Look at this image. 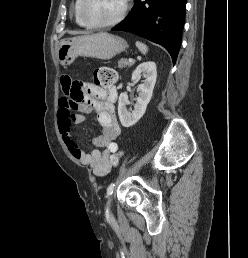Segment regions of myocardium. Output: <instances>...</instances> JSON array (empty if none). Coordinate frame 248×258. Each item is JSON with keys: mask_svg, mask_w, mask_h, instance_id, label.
Instances as JSON below:
<instances>
[{"mask_svg": "<svg viewBox=\"0 0 248 258\" xmlns=\"http://www.w3.org/2000/svg\"><path fill=\"white\" fill-rule=\"evenodd\" d=\"M128 1L129 0H123L121 10L117 14V16H115L113 19L108 20L106 22L95 23V22L90 21L87 18L86 14L84 12V2H85V0H79V14H80V16H81V18L84 21L86 26H89V27H92V28H105V27L114 26V25L120 23L124 19L125 15L127 13V10H128V6H129Z\"/></svg>", "mask_w": 248, "mask_h": 258, "instance_id": "obj_1", "label": "myocardium"}]
</instances>
